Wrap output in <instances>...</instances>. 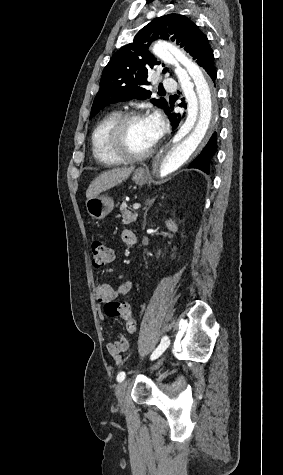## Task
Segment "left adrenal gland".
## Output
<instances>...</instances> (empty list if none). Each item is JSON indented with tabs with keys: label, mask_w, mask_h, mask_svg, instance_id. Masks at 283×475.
Segmentation results:
<instances>
[{
	"label": "left adrenal gland",
	"mask_w": 283,
	"mask_h": 475,
	"mask_svg": "<svg viewBox=\"0 0 283 475\" xmlns=\"http://www.w3.org/2000/svg\"><path fill=\"white\" fill-rule=\"evenodd\" d=\"M156 198H157V196H156ZM156 198H153V200H147L146 206H148V208H151V206H152V204H154ZM148 208H144L145 214H144V216H143L144 222H143V228H142V230H145V228H146V216H147Z\"/></svg>",
	"instance_id": "left-adrenal-gland-1"
}]
</instances>
